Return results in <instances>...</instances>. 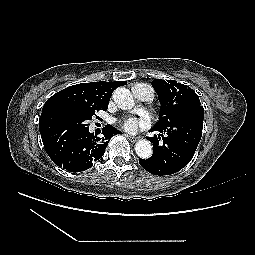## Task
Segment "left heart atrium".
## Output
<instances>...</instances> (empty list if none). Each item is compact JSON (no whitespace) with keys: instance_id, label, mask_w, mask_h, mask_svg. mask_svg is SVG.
Instances as JSON below:
<instances>
[{"instance_id":"obj_1","label":"left heart atrium","mask_w":255,"mask_h":255,"mask_svg":"<svg viewBox=\"0 0 255 255\" xmlns=\"http://www.w3.org/2000/svg\"><path fill=\"white\" fill-rule=\"evenodd\" d=\"M122 126L124 129L134 132L136 131L139 127H143L145 123L143 122H138L135 118H126L122 122Z\"/></svg>"}]
</instances>
